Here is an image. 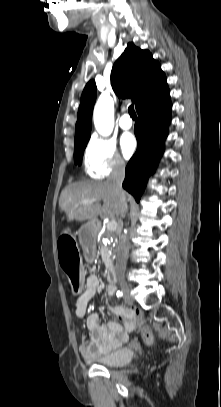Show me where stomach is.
<instances>
[{
  "mask_svg": "<svg viewBox=\"0 0 221 407\" xmlns=\"http://www.w3.org/2000/svg\"><path fill=\"white\" fill-rule=\"evenodd\" d=\"M91 224L90 223H88V224H86L85 226H84V228H91Z\"/></svg>",
  "mask_w": 221,
  "mask_h": 407,
  "instance_id": "1",
  "label": "stomach"
}]
</instances>
